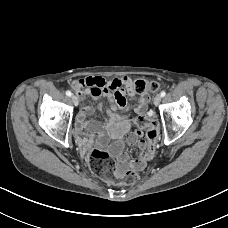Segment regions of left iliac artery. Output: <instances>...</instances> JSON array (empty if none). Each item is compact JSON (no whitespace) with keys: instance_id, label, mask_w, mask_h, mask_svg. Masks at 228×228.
<instances>
[{"instance_id":"44dca946","label":"left iliac artery","mask_w":228,"mask_h":228,"mask_svg":"<svg viewBox=\"0 0 228 228\" xmlns=\"http://www.w3.org/2000/svg\"><path fill=\"white\" fill-rule=\"evenodd\" d=\"M160 95H161V97H164V96L166 95V92H165V91H162V92L160 93Z\"/></svg>"}]
</instances>
